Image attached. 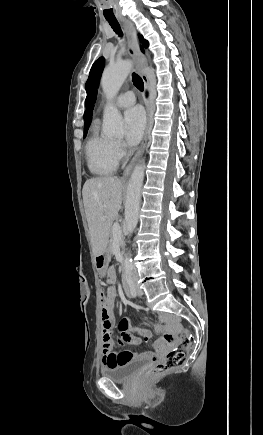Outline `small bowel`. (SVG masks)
<instances>
[{
  "mask_svg": "<svg viewBox=\"0 0 263 435\" xmlns=\"http://www.w3.org/2000/svg\"><path fill=\"white\" fill-rule=\"evenodd\" d=\"M116 280V271L111 268L107 271V282L109 287L107 289V293L104 297L103 302L101 303V318H102V331L105 328H110L113 330L115 325V314H114V306L117 298V292L114 288L113 284ZM162 320L165 323H168L173 326L178 325V321L173 316H162ZM131 319L129 317L122 318L118 323L119 330V343L124 344H133L140 345L143 341H148L151 337V333L148 330H143L141 332V336L135 335L130 328ZM161 326H157L158 330H161ZM102 343H103V334H102ZM176 343L175 336H161L159 341L155 343V348L158 353L163 352L164 349L171 350L173 345ZM115 346V342H114ZM102 362L105 366H117L122 365L124 363L141 359L145 357L153 356V353L145 352V351H132V350H124L121 352H116L113 350H104Z\"/></svg>",
  "mask_w": 263,
  "mask_h": 435,
  "instance_id": "c3829d8e",
  "label": "small bowel"
}]
</instances>
